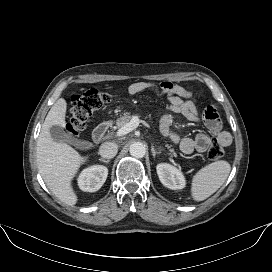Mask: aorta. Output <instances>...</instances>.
I'll use <instances>...</instances> for the list:
<instances>
[{"mask_svg":"<svg viewBox=\"0 0 272 272\" xmlns=\"http://www.w3.org/2000/svg\"><path fill=\"white\" fill-rule=\"evenodd\" d=\"M129 152L135 158H142L146 153V148L141 142H135L130 145Z\"/></svg>","mask_w":272,"mask_h":272,"instance_id":"obj_1","label":"aorta"}]
</instances>
